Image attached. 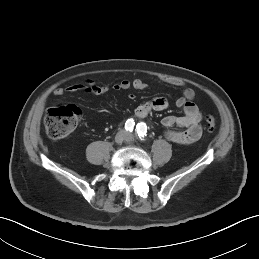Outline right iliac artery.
<instances>
[{
	"instance_id": "82829eb1",
	"label": "right iliac artery",
	"mask_w": 259,
	"mask_h": 259,
	"mask_svg": "<svg viewBox=\"0 0 259 259\" xmlns=\"http://www.w3.org/2000/svg\"><path fill=\"white\" fill-rule=\"evenodd\" d=\"M134 125H135V122L133 119H128L125 123V129L127 131H133V128H134Z\"/></svg>"
}]
</instances>
